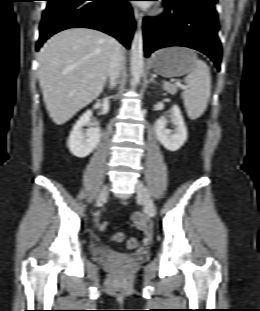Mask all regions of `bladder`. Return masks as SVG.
Here are the masks:
<instances>
[{
  "label": "bladder",
  "instance_id": "obj_1",
  "mask_svg": "<svg viewBox=\"0 0 260 311\" xmlns=\"http://www.w3.org/2000/svg\"><path fill=\"white\" fill-rule=\"evenodd\" d=\"M91 253L94 257L99 259H110L115 255L110 248L100 245L91 246Z\"/></svg>",
  "mask_w": 260,
  "mask_h": 311
}]
</instances>
